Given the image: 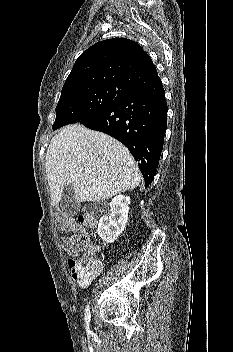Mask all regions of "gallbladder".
<instances>
[{"instance_id":"obj_1","label":"gallbladder","mask_w":233,"mask_h":352,"mask_svg":"<svg viewBox=\"0 0 233 352\" xmlns=\"http://www.w3.org/2000/svg\"><path fill=\"white\" fill-rule=\"evenodd\" d=\"M60 207L64 213L71 216L79 211V205L75 200V191L72 185H66L64 187Z\"/></svg>"}]
</instances>
